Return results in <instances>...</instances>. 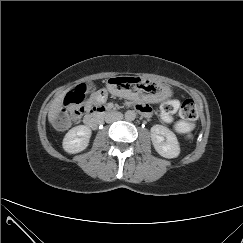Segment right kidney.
Masks as SVG:
<instances>
[{"mask_svg":"<svg viewBox=\"0 0 243 243\" xmlns=\"http://www.w3.org/2000/svg\"><path fill=\"white\" fill-rule=\"evenodd\" d=\"M91 137V129L84 125L70 129L63 139V149L71 154L79 153L86 149Z\"/></svg>","mask_w":243,"mask_h":243,"instance_id":"ca27d5eb","label":"right kidney"}]
</instances>
